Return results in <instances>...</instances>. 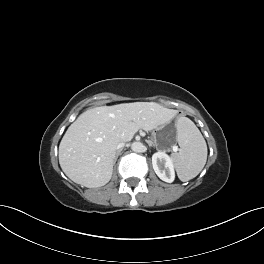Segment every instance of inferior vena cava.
I'll use <instances>...</instances> for the list:
<instances>
[{"label": "inferior vena cava", "mask_w": 264, "mask_h": 264, "mask_svg": "<svg viewBox=\"0 0 264 264\" xmlns=\"http://www.w3.org/2000/svg\"><path fill=\"white\" fill-rule=\"evenodd\" d=\"M124 146V142L120 141L118 144H117V149H120Z\"/></svg>", "instance_id": "1"}]
</instances>
